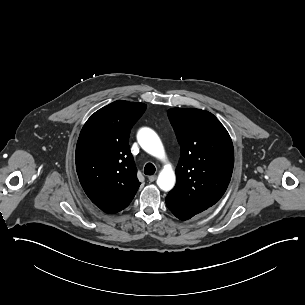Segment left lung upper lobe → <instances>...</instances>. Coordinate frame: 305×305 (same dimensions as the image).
<instances>
[{
	"mask_svg": "<svg viewBox=\"0 0 305 305\" xmlns=\"http://www.w3.org/2000/svg\"><path fill=\"white\" fill-rule=\"evenodd\" d=\"M169 120L180 144L176 185L169 198L182 206L204 211L225 193L233 171L231 138L210 112L195 108H172Z\"/></svg>",
	"mask_w": 305,
	"mask_h": 305,
	"instance_id": "1",
	"label": "left lung upper lobe"
}]
</instances>
